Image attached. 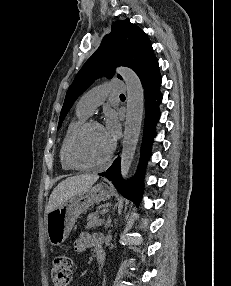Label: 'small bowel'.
<instances>
[{
  "label": "small bowel",
  "instance_id": "obj_1",
  "mask_svg": "<svg viewBox=\"0 0 231 286\" xmlns=\"http://www.w3.org/2000/svg\"><path fill=\"white\" fill-rule=\"evenodd\" d=\"M102 241V237L99 234H90L88 232H82L74 243V250L77 253H83L87 249L92 247H98Z\"/></svg>",
  "mask_w": 231,
  "mask_h": 286
}]
</instances>
